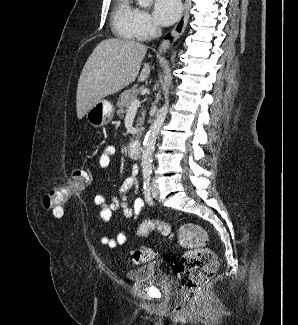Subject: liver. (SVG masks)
<instances>
[{"mask_svg": "<svg viewBox=\"0 0 298 325\" xmlns=\"http://www.w3.org/2000/svg\"><path fill=\"white\" fill-rule=\"evenodd\" d=\"M146 44L137 40L105 38L87 58L79 76L76 90V112L83 118L93 104L109 94L119 92L131 82H145L152 70L150 62L142 60L147 52Z\"/></svg>", "mask_w": 298, "mask_h": 325, "instance_id": "1", "label": "liver"}]
</instances>
